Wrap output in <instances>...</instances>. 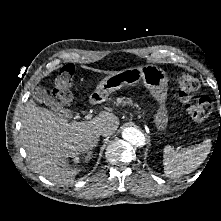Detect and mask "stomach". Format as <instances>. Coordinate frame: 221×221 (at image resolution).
Masks as SVG:
<instances>
[{
    "instance_id": "0dacf381",
    "label": "stomach",
    "mask_w": 221,
    "mask_h": 221,
    "mask_svg": "<svg viewBox=\"0 0 221 221\" xmlns=\"http://www.w3.org/2000/svg\"><path fill=\"white\" fill-rule=\"evenodd\" d=\"M141 80L160 104L157 113L154 115V123L159 131H164L168 123L167 109L165 107L168 80L166 73L155 65L131 67L109 74L99 83L92 95V99L96 102L106 100L112 92L125 85L133 86Z\"/></svg>"
}]
</instances>
